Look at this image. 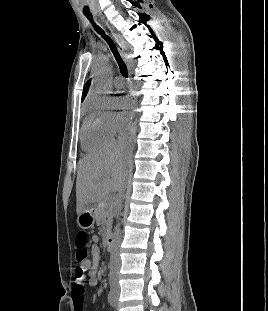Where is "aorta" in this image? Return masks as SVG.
<instances>
[{
  "instance_id": "aorta-1",
  "label": "aorta",
  "mask_w": 268,
  "mask_h": 311,
  "mask_svg": "<svg viewBox=\"0 0 268 311\" xmlns=\"http://www.w3.org/2000/svg\"><path fill=\"white\" fill-rule=\"evenodd\" d=\"M110 70V67L108 65H105V64H101L98 66V72L100 74V78L98 80V83H97V86H96V89L99 91V92H103L106 90V82L105 80L103 79V76Z\"/></svg>"
}]
</instances>
